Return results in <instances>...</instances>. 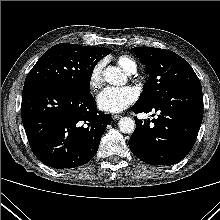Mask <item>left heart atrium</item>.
<instances>
[{
  "label": "left heart atrium",
  "instance_id": "left-heart-atrium-1",
  "mask_svg": "<svg viewBox=\"0 0 220 220\" xmlns=\"http://www.w3.org/2000/svg\"><path fill=\"white\" fill-rule=\"evenodd\" d=\"M137 98L138 93L132 87H106L97 96V106L105 112L119 113L129 107Z\"/></svg>",
  "mask_w": 220,
  "mask_h": 220
}]
</instances>
